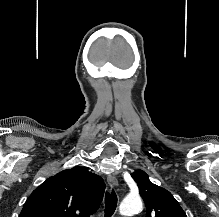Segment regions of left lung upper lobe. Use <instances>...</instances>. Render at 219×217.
Segmentation results:
<instances>
[{"label": "left lung upper lobe", "mask_w": 219, "mask_h": 217, "mask_svg": "<svg viewBox=\"0 0 219 217\" xmlns=\"http://www.w3.org/2000/svg\"><path fill=\"white\" fill-rule=\"evenodd\" d=\"M146 204V217H187L172 194L153 184L142 170L131 174Z\"/></svg>", "instance_id": "5c2ea615"}]
</instances>
